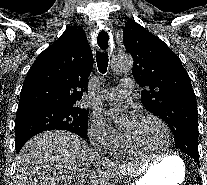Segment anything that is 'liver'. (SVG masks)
Masks as SVG:
<instances>
[{
    "instance_id": "obj_1",
    "label": "liver",
    "mask_w": 207,
    "mask_h": 185,
    "mask_svg": "<svg viewBox=\"0 0 207 185\" xmlns=\"http://www.w3.org/2000/svg\"><path fill=\"white\" fill-rule=\"evenodd\" d=\"M95 155L86 141L69 131H44L22 147L16 185H83Z\"/></svg>"
}]
</instances>
